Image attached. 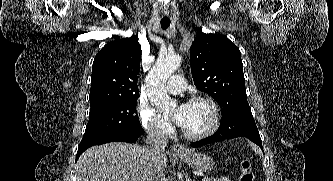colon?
<instances>
[{
	"label": "colon",
	"instance_id": "5ec220e1",
	"mask_svg": "<svg viewBox=\"0 0 333 181\" xmlns=\"http://www.w3.org/2000/svg\"><path fill=\"white\" fill-rule=\"evenodd\" d=\"M256 176L248 159L240 160V178L239 181H255Z\"/></svg>",
	"mask_w": 333,
	"mask_h": 181
}]
</instances>
